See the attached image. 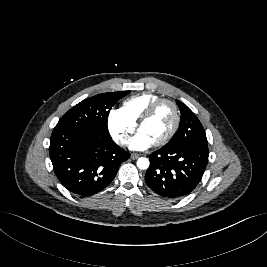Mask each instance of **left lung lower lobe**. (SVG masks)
Segmentation results:
<instances>
[{"mask_svg":"<svg viewBox=\"0 0 267 267\" xmlns=\"http://www.w3.org/2000/svg\"><path fill=\"white\" fill-rule=\"evenodd\" d=\"M208 156V146L197 143L162 147L149 156L145 182L162 197H184L200 182Z\"/></svg>","mask_w":267,"mask_h":267,"instance_id":"obj_1","label":"left lung lower lobe"}]
</instances>
